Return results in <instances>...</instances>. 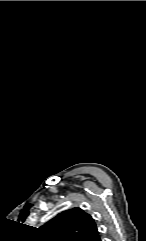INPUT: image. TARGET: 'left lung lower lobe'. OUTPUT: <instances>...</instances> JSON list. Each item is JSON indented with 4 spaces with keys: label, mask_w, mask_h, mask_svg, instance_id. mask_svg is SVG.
I'll list each match as a JSON object with an SVG mask.
<instances>
[{
    "label": "left lung lower lobe",
    "mask_w": 146,
    "mask_h": 241,
    "mask_svg": "<svg viewBox=\"0 0 146 241\" xmlns=\"http://www.w3.org/2000/svg\"><path fill=\"white\" fill-rule=\"evenodd\" d=\"M91 241H101L99 233L91 239Z\"/></svg>",
    "instance_id": "0a47b994"
}]
</instances>
